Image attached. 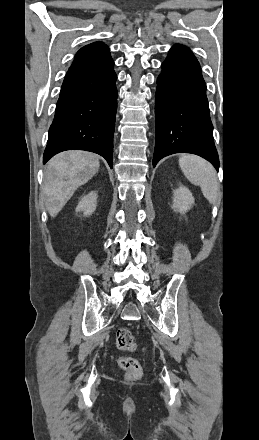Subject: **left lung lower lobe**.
Listing matches in <instances>:
<instances>
[{
  "label": "left lung lower lobe",
  "instance_id": "obj_1",
  "mask_svg": "<svg viewBox=\"0 0 259 440\" xmlns=\"http://www.w3.org/2000/svg\"><path fill=\"white\" fill-rule=\"evenodd\" d=\"M161 67L155 94L153 166L170 154L192 153L218 170L206 84L197 59L187 47L176 44Z\"/></svg>",
  "mask_w": 259,
  "mask_h": 440
}]
</instances>
